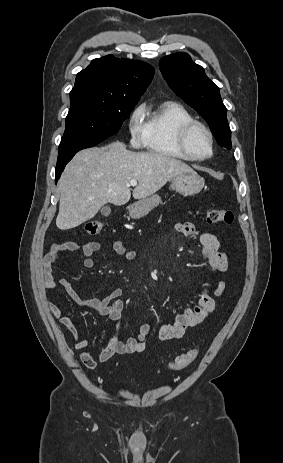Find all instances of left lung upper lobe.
<instances>
[{"instance_id":"obj_1","label":"left lung upper lobe","mask_w":283,"mask_h":463,"mask_svg":"<svg viewBox=\"0 0 283 463\" xmlns=\"http://www.w3.org/2000/svg\"><path fill=\"white\" fill-rule=\"evenodd\" d=\"M159 68L170 88L209 124L219 145L231 149V130L219 88L187 53L162 58Z\"/></svg>"}]
</instances>
